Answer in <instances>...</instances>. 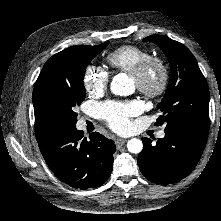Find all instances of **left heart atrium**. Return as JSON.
Returning a JSON list of instances; mask_svg holds the SVG:
<instances>
[{"label": "left heart atrium", "instance_id": "39dd6f15", "mask_svg": "<svg viewBox=\"0 0 221 221\" xmlns=\"http://www.w3.org/2000/svg\"><path fill=\"white\" fill-rule=\"evenodd\" d=\"M141 109V103L135 100L122 103L107 102L98 107V113L115 131L125 132L129 127V117L138 114Z\"/></svg>", "mask_w": 221, "mask_h": 221}]
</instances>
